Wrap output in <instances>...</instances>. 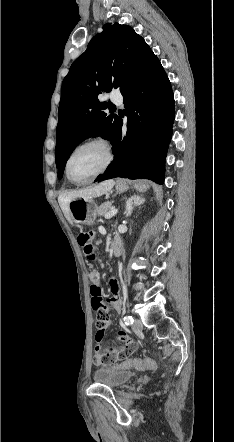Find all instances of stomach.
<instances>
[{
	"label": "stomach",
	"instance_id": "stomach-1",
	"mask_svg": "<svg viewBox=\"0 0 234 442\" xmlns=\"http://www.w3.org/2000/svg\"><path fill=\"white\" fill-rule=\"evenodd\" d=\"M116 191L118 193H123L128 190V183L124 180H118L116 182ZM135 189L143 192L148 189V184L139 182L134 185ZM97 205L92 200H85L81 198H76L69 203V210L74 223L92 225L97 215Z\"/></svg>",
	"mask_w": 234,
	"mask_h": 442
}]
</instances>
